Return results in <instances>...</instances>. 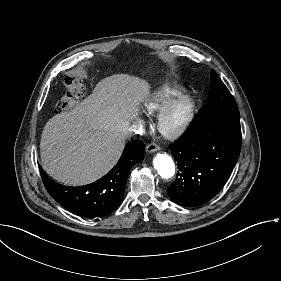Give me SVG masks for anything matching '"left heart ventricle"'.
Masks as SVG:
<instances>
[{
  "mask_svg": "<svg viewBox=\"0 0 281 281\" xmlns=\"http://www.w3.org/2000/svg\"><path fill=\"white\" fill-rule=\"evenodd\" d=\"M183 113H184L183 107L176 108L171 114L169 123L173 124V123L179 121L181 119V117L183 116Z\"/></svg>",
  "mask_w": 281,
  "mask_h": 281,
  "instance_id": "1",
  "label": "left heart ventricle"
}]
</instances>
